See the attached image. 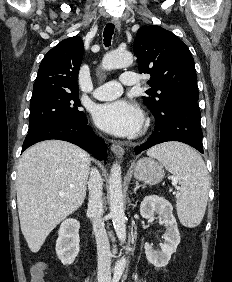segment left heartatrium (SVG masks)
Instances as JSON below:
<instances>
[{"mask_svg": "<svg viewBox=\"0 0 232 282\" xmlns=\"http://www.w3.org/2000/svg\"><path fill=\"white\" fill-rule=\"evenodd\" d=\"M94 119L102 130L127 136L139 130L143 116L135 105L126 100H117L98 105L94 110Z\"/></svg>", "mask_w": 232, "mask_h": 282, "instance_id": "obj_1", "label": "left heart atrium"}]
</instances>
